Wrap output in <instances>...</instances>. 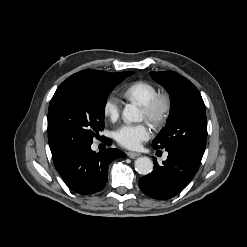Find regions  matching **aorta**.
<instances>
[{
    "instance_id": "762f6f07",
    "label": "aorta",
    "mask_w": 247,
    "mask_h": 247,
    "mask_svg": "<svg viewBox=\"0 0 247 247\" xmlns=\"http://www.w3.org/2000/svg\"><path fill=\"white\" fill-rule=\"evenodd\" d=\"M123 119L128 122H140L142 114L134 105H126L123 109ZM135 170L142 175H147L153 170V162L148 157H139L135 161Z\"/></svg>"
}]
</instances>
